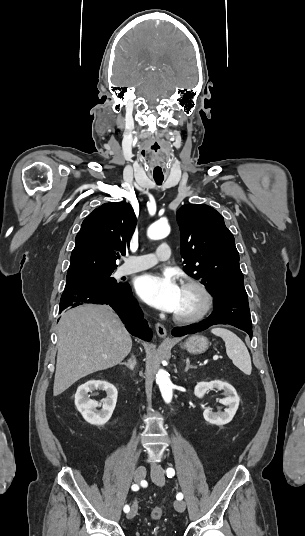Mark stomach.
Returning a JSON list of instances; mask_svg holds the SVG:
<instances>
[{
	"label": "stomach",
	"mask_w": 305,
	"mask_h": 536,
	"mask_svg": "<svg viewBox=\"0 0 305 536\" xmlns=\"http://www.w3.org/2000/svg\"><path fill=\"white\" fill-rule=\"evenodd\" d=\"M183 348L189 352V354H203L209 348V342L205 336H190L183 344Z\"/></svg>",
	"instance_id": "obj_1"
}]
</instances>
